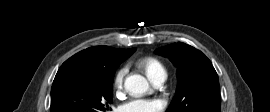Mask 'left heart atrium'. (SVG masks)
Here are the masks:
<instances>
[{
  "label": "left heart atrium",
  "mask_w": 270,
  "mask_h": 112,
  "mask_svg": "<svg viewBox=\"0 0 270 112\" xmlns=\"http://www.w3.org/2000/svg\"><path fill=\"white\" fill-rule=\"evenodd\" d=\"M163 107V101L158 98H135L125 102L120 107V112H159Z\"/></svg>",
  "instance_id": "39dd6f15"
}]
</instances>
